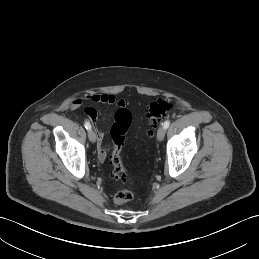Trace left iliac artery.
<instances>
[{"label":"left iliac artery","instance_id":"1","mask_svg":"<svg viewBox=\"0 0 259 259\" xmlns=\"http://www.w3.org/2000/svg\"><path fill=\"white\" fill-rule=\"evenodd\" d=\"M169 125H170V121H169V120H166V121L164 122V124H163V127H164L165 129H167V128L169 127Z\"/></svg>","mask_w":259,"mask_h":259}]
</instances>
